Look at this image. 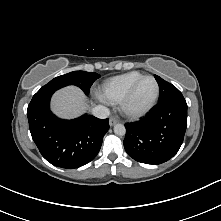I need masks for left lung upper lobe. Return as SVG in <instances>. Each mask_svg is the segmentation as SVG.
<instances>
[{
    "mask_svg": "<svg viewBox=\"0 0 221 221\" xmlns=\"http://www.w3.org/2000/svg\"><path fill=\"white\" fill-rule=\"evenodd\" d=\"M154 77L158 82L160 89L159 103L175 98H184L182 93L174 85L168 83L157 75H154Z\"/></svg>",
    "mask_w": 221,
    "mask_h": 221,
    "instance_id": "1",
    "label": "left lung upper lobe"
}]
</instances>
